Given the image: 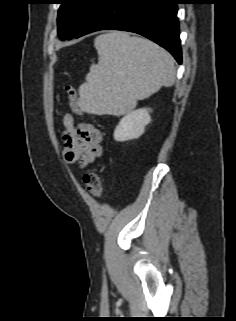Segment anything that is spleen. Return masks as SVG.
<instances>
[{
    "instance_id": "spleen-1",
    "label": "spleen",
    "mask_w": 236,
    "mask_h": 321,
    "mask_svg": "<svg viewBox=\"0 0 236 321\" xmlns=\"http://www.w3.org/2000/svg\"><path fill=\"white\" fill-rule=\"evenodd\" d=\"M98 64L90 67L79 87L78 105L97 115H122L137 103L175 82L173 57L155 43L110 32L95 39Z\"/></svg>"
}]
</instances>
